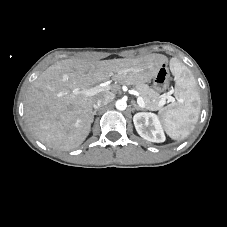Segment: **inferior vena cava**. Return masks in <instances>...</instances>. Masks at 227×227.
<instances>
[{
    "label": "inferior vena cava",
    "mask_w": 227,
    "mask_h": 227,
    "mask_svg": "<svg viewBox=\"0 0 227 227\" xmlns=\"http://www.w3.org/2000/svg\"><path fill=\"white\" fill-rule=\"evenodd\" d=\"M114 99V95L112 93H106L103 97L99 98L94 104L93 107L98 109L104 105H107Z\"/></svg>",
    "instance_id": "1"
}]
</instances>
